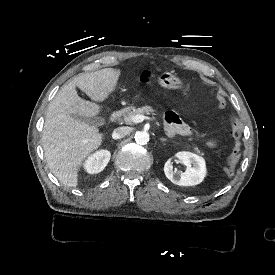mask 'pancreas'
<instances>
[{
  "label": "pancreas",
  "instance_id": "pancreas-1",
  "mask_svg": "<svg viewBox=\"0 0 275 275\" xmlns=\"http://www.w3.org/2000/svg\"><path fill=\"white\" fill-rule=\"evenodd\" d=\"M153 107L151 106H143L141 108H134L133 106H129L127 108H124L122 110H119L116 112L118 117H121L120 121H124L125 124H130V119L138 114H151L153 112ZM186 148L191 149L193 148L194 152L200 156H204V153L195 145L186 144Z\"/></svg>",
  "mask_w": 275,
  "mask_h": 275
}]
</instances>
